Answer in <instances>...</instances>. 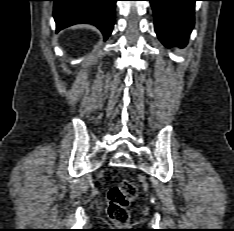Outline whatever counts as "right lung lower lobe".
Masks as SVG:
<instances>
[{
  "label": "right lung lower lobe",
  "mask_w": 234,
  "mask_h": 231,
  "mask_svg": "<svg viewBox=\"0 0 234 231\" xmlns=\"http://www.w3.org/2000/svg\"><path fill=\"white\" fill-rule=\"evenodd\" d=\"M56 31L78 23L98 27L107 39L114 26L117 0H53Z\"/></svg>",
  "instance_id": "right-lung-lower-lobe-1"
}]
</instances>
